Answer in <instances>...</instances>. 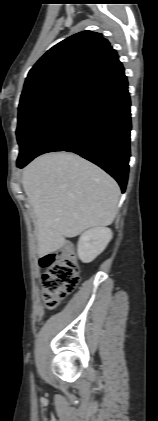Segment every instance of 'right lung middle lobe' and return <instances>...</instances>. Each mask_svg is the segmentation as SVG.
I'll use <instances>...</instances> for the list:
<instances>
[{"instance_id": "dd1d6c3e", "label": "right lung middle lobe", "mask_w": 158, "mask_h": 421, "mask_svg": "<svg viewBox=\"0 0 158 421\" xmlns=\"http://www.w3.org/2000/svg\"><path fill=\"white\" fill-rule=\"evenodd\" d=\"M82 85L75 82L57 83L20 99L16 131L20 146L17 164L28 157L42 130Z\"/></svg>"}]
</instances>
